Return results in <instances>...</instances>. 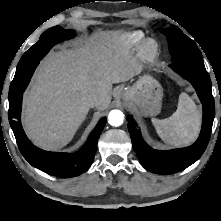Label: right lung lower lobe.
I'll return each instance as SVG.
<instances>
[{
    "label": "right lung lower lobe",
    "mask_w": 221,
    "mask_h": 221,
    "mask_svg": "<svg viewBox=\"0 0 221 221\" xmlns=\"http://www.w3.org/2000/svg\"><path fill=\"white\" fill-rule=\"evenodd\" d=\"M43 57L36 58L33 65H38ZM23 59L22 57L20 61H23ZM24 61H27V58ZM28 83L16 97L9 99V122L21 154L32 166L53 176L74 177L82 174L92 164L97 149V141L105 126L106 118L104 117L98 122L85 145L76 153L67 154L43 151L29 141L21 126L22 96Z\"/></svg>",
    "instance_id": "obj_1"
}]
</instances>
